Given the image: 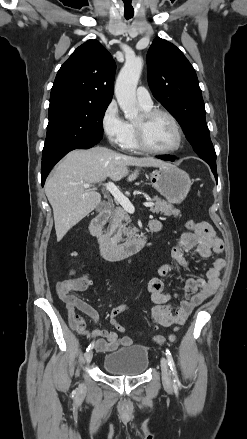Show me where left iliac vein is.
Instances as JSON below:
<instances>
[{"label": "left iliac vein", "instance_id": "4c4485c4", "mask_svg": "<svg viewBox=\"0 0 247 439\" xmlns=\"http://www.w3.org/2000/svg\"><path fill=\"white\" fill-rule=\"evenodd\" d=\"M161 372H162V381L164 386L168 389L171 388L173 383H172L170 369L167 360L165 358L161 359Z\"/></svg>", "mask_w": 247, "mask_h": 439}]
</instances>
